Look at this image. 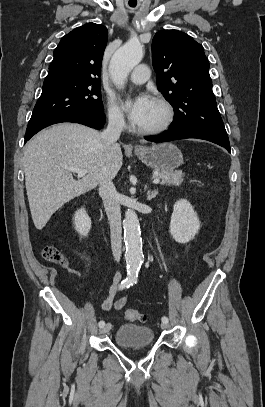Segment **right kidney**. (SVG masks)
I'll return each instance as SVG.
<instances>
[{
    "label": "right kidney",
    "mask_w": 265,
    "mask_h": 407,
    "mask_svg": "<svg viewBox=\"0 0 265 407\" xmlns=\"http://www.w3.org/2000/svg\"><path fill=\"white\" fill-rule=\"evenodd\" d=\"M74 225L80 236H87L91 229V219L85 209H79L74 214Z\"/></svg>",
    "instance_id": "ca27d5eb"
}]
</instances>
